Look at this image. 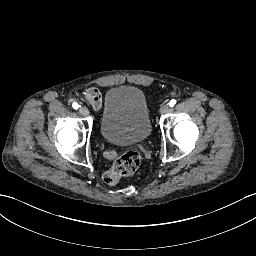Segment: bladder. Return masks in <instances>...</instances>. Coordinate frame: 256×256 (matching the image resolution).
Instances as JSON below:
<instances>
[{
    "instance_id": "1",
    "label": "bladder",
    "mask_w": 256,
    "mask_h": 256,
    "mask_svg": "<svg viewBox=\"0 0 256 256\" xmlns=\"http://www.w3.org/2000/svg\"><path fill=\"white\" fill-rule=\"evenodd\" d=\"M100 136L118 145L144 142L151 132L149 108L143 92L133 86H114L105 96Z\"/></svg>"
}]
</instances>
